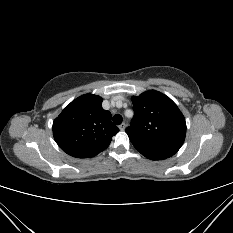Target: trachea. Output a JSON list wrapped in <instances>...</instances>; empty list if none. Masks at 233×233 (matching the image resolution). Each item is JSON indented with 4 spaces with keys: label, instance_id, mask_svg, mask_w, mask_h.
<instances>
[{
    "label": "trachea",
    "instance_id": "1",
    "mask_svg": "<svg viewBox=\"0 0 233 233\" xmlns=\"http://www.w3.org/2000/svg\"><path fill=\"white\" fill-rule=\"evenodd\" d=\"M122 116L120 114H116L113 116V122L116 124V125H120L122 123Z\"/></svg>",
    "mask_w": 233,
    "mask_h": 233
}]
</instances>
